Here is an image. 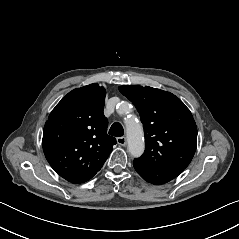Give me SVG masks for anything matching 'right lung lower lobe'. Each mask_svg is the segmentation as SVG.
Instances as JSON below:
<instances>
[{"mask_svg": "<svg viewBox=\"0 0 239 239\" xmlns=\"http://www.w3.org/2000/svg\"><path fill=\"white\" fill-rule=\"evenodd\" d=\"M69 182H72V183H83V182H86L87 180H84V181H78V180H68Z\"/></svg>", "mask_w": 239, "mask_h": 239, "instance_id": "1", "label": "right lung lower lobe"}]
</instances>
